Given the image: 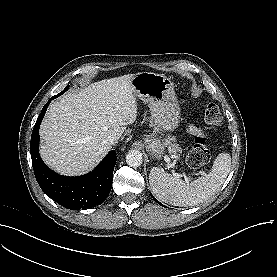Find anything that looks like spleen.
Returning <instances> with one entry per match:
<instances>
[{
	"label": "spleen",
	"mask_w": 277,
	"mask_h": 277,
	"mask_svg": "<svg viewBox=\"0 0 277 277\" xmlns=\"http://www.w3.org/2000/svg\"><path fill=\"white\" fill-rule=\"evenodd\" d=\"M230 170L231 156L220 153L214 160L211 171L191 183L158 167L151 169L149 182L153 193L160 200L176 206H194L212 197L221 188Z\"/></svg>",
	"instance_id": "1"
}]
</instances>
